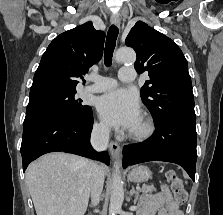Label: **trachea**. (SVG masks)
Wrapping results in <instances>:
<instances>
[{"instance_id": "trachea-1", "label": "trachea", "mask_w": 223, "mask_h": 215, "mask_svg": "<svg viewBox=\"0 0 223 215\" xmlns=\"http://www.w3.org/2000/svg\"><path fill=\"white\" fill-rule=\"evenodd\" d=\"M118 36V27L111 25L107 33V39L104 51V62L107 67L112 63L113 52L116 46V40Z\"/></svg>"}]
</instances>
